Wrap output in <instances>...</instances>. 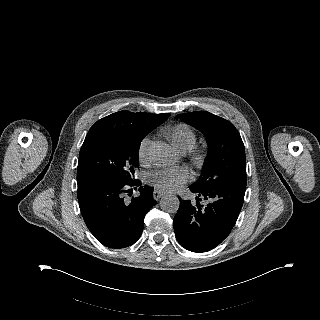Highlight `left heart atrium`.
Wrapping results in <instances>:
<instances>
[{"label":"left heart atrium","mask_w":320,"mask_h":320,"mask_svg":"<svg viewBox=\"0 0 320 320\" xmlns=\"http://www.w3.org/2000/svg\"><path fill=\"white\" fill-rule=\"evenodd\" d=\"M150 181L165 191H176L189 179L183 168L161 169L149 176Z\"/></svg>","instance_id":"1"}]
</instances>
